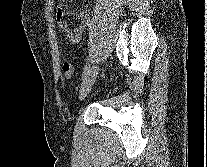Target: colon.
<instances>
[{"mask_svg":"<svg viewBox=\"0 0 207 167\" xmlns=\"http://www.w3.org/2000/svg\"><path fill=\"white\" fill-rule=\"evenodd\" d=\"M62 72L67 79L72 78L74 76V68L72 64L68 61L64 62L62 65Z\"/></svg>","mask_w":207,"mask_h":167,"instance_id":"obj_1","label":"colon"}]
</instances>
